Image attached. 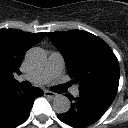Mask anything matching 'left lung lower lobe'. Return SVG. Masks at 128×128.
<instances>
[{"label":"left lung lower lobe","instance_id":"0a47b994","mask_svg":"<svg viewBox=\"0 0 128 128\" xmlns=\"http://www.w3.org/2000/svg\"><path fill=\"white\" fill-rule=\"evenodd\" d=\"M116 92L105 89H90L79 91V97H69L71 108L58 118L74 127L82 128L96 122L109 108L115 98Z\"/></svg>","mask_w":128,"mask_h":128}]
</instances>
